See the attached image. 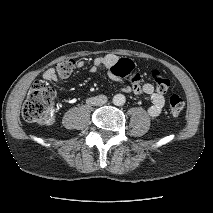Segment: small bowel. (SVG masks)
I'll list each match as a JSON object with an SVG mask.
<instances>
[{
    "label": "small bowel",
    "mask_w": 213,
    "mask_h": 213,
    "mask_svg": "<svg viewBox=\"0 0 213 213\" xmlns=\"http://www.w3.org/2000/svg\"><path fill=\"white\" fill-rule=\"evenodd\" d=\"M119 57L114 54H107L104 56H100L94 59L90 71L92 73L98 72L101 69H105L109 76L113 79L120 80L114 76L111 72L112 67L119 61ZM85 66V62L83 60H78L74 62V67L83 68ZM60 76L55 68H48L43 73V78L50 82H55L59 79ZM129 84L124 85L122 87V91L124 92H132L136 95H144L148 96L151 100V104L148 107V114L151 117H157L161 114L163 107L165 105V97L162 93L158 92L155 87L148 82L143 83L141 81V77L137 72H132V74L128 77Z\"/></svg>",
    "instance_id": "obj_1"
}]
</instances>
